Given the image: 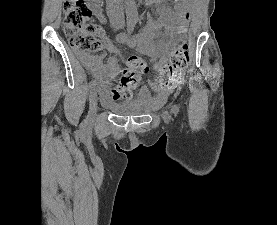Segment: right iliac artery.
<instances>
[{
    "label": "right iliac artery",
    "mask_w": 277,
    "mask_h": 225,
    "mask_svg": "<svg viewBox=\"0 0 277 225\" xmlns=\"http://www.w3.org/2000/svg\"><path fill=\"white\" fill-rule=\"evenodd\" d=\"M136 22L131 20L127 23V33H132L134 27H135ZM88 90L90 93H92L94 91V85L93 84H89Z\"/></svg>",
    "instance_id": "1"
}]
</instances>
